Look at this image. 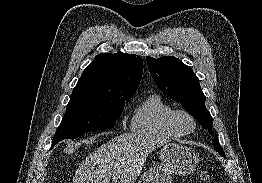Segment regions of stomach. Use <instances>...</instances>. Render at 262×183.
Masks as SVG:
<instances>
[{
  "mask_svg": "<svg viewBox=\"0 0 262 183\" xmlns=\"http://www.w3.org/2000/svg\"><path fill=\"white\" fill-rule=\"evenodd\" d=\"M199 164L197 153L186 146L168 142L161 150V165L147 170L138 183H172L174 175H189Z\"/></svg>",
  "mask_w": 262,
  "mask_h": 183,
  "instance_id": "obj_1",
  "label": "stomach"
}]
</instances>
